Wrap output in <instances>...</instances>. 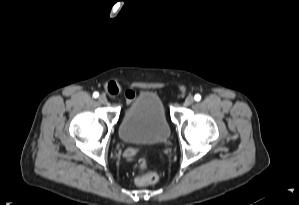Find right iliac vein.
Masks as SVG:
<instances>
[{"instance_id": "63e3f726", "label": "right iliac vein", "mask_w": 299, "mask_h": 205, "mask_svg": "<svg viewBox=\"0 0 299 205\" xmlns=\"http://www.w3.org/2000/svg\"><path fill=\"white\" fill-rule=\"evenodd\" d=\"M99 102H100L101 104H106V103H107V98H106V96H104V95H100V96H99Z\"/></svg>"}]
</instances>
